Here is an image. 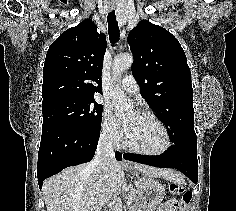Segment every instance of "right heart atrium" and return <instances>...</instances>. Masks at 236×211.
<instances>
[{"label":"right heart atrium","mask_w":236,"mask_h":211,"mask_svg":"<svg viewBox=\"0 0 236 211\" xmlns=\"http://www.w3.org/2000/svg\"><path fill=\"white\" fill-rule=\"evenodd\" d=\"M100 134L103 141L113 146L118 145L122 139L121 128L108 108L103 112Z\"/></svg>","instance_id":"d8ad5b80"}]
</instances>
